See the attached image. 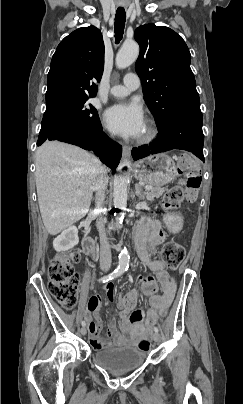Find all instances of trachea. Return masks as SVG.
<instances>
[{
    "instance_id": "trachea-1",
    "label": "trachea",
    "mask_w": 243,
    "mask_h": 404,
    "mask_svg": "<svg viewBox=\"0 0 243 404\" xmlns=\"http://www.w3.org/2000/svg\"><path fill=\"white\" fill-rule=\"evenodd\" d=\"M125 22H126L125 9L123 7H118L116 10L115 23H114L116 44H118L123 37Z\"/></svg>"
}]
</instances>
